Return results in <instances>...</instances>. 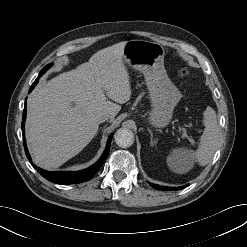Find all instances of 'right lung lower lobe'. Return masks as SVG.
<instances>
[{
    "label": "right lung lower lobe",
    "mask_w": 247,
    "mask_h": 247,
    "mask_svg": "<svg viewBox=\"0 0 247 247\" xmlns=\"http://www.w3.org/2000/svg\"><path fill=\"white\" fill-rule=\"evenodd\" d=\"M37 83H38V78L35 80V82L30 87L29 92H31L34 89V87L36 86ZM26 112H27V109H26V102H25L23 118H22V134H23V141H24V148H25L26 156L30 160L33 167L44 178H46L47 180H49L53 183H57V184H75V183H81V182L88 181L92 177H94V175L98 172V170L103 165L104 161L106 160V158L108 156L112 135H110V137L107 141V146H106L104 153L102 154L100 159L95 164H93L91 167L84 169V170H81V171H76V172H63V171L50 172V171H46V170H43V169L37 167L35 164H33L31 161V157L28 153V149L26 146V140H25V136H24V134H25L24 122L26 119Z\"/></svg>",
    "instance_id": "98d812e1"
}]
</instances>
